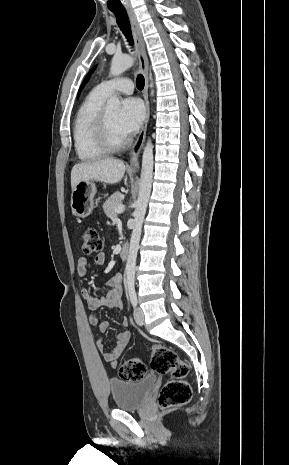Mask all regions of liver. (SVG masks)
Masks as SVG:
<instances>
[{
  "label": "liver",
  "instance_id": "obj_1",
  "mask_svg": "<svg viewBox=\"0 0 289 465\" xmlns=\"http://www.w3.org/2000/svg\"><path fill=\"white\" fill-rule=\"evenodd\" d=\"M126 166L119 159H102L95 162L79 163L71 171L72 190L83 180H95L107 184H116L124 176Z\"/></svg>",
  "mask_w": 289,
  "mask_h": 465
}]
</instances>
